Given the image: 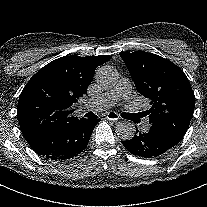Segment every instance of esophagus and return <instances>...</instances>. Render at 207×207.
Here are the masks:
<instances>
[{"instance_id":"1","label":"esophagus","mask_w":207,"mask_h":207,"mask_svg":"<svg viewBox=\"0 0 207 207\" xmlns=\"http://www.w3.org/2000/svg\"><path fill=\"white\" fill-rule=\"evenodd\" d=\"M106 118L108 120L115 121L119 119V115L115 111H110L106 114Z\"/></svg>"}]
</instances>
